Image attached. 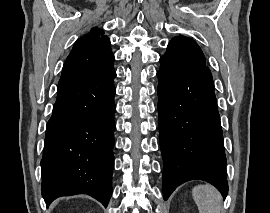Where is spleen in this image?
Wrapping results in <instances>:
<instances>
[{"label":"spleen","instance_id":"3e777b00","mask_svg":"<svg viewBox=\"0 0 270 213\" xmlns=\"http://www.w3.org/2000/svg\"><path fill=\"white\" fill-rule=\"evenodd\" d=\"M192 196L199 213H221L222 196L215 187L198 185L193 188Z\"/></svg>","mask_w":270,"mask_h":213}]
</instances>
